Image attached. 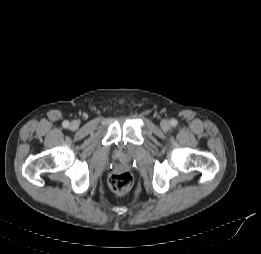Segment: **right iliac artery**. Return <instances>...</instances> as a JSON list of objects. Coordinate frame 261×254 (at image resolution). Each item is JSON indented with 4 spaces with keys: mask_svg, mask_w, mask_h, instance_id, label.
I'll return each mask as SVG.
<instances>
[{
    "mask_svg": "<svg viewBox=\"0 0 261 254\" xmlns=\"http://www.w3.org/2000/svg\"><path fill=\"white\" fill-rule=\"evenodd\" d=\"M68 126H69V122H68V121H64V122H63V127H64V128H67Z\"/></svg>",
    "mask_w": 261,
    "mask_h": 254,
    "instance_id": "right-iliac-artery-1",
    "label": "right iliac artery"
}]
</instances>
